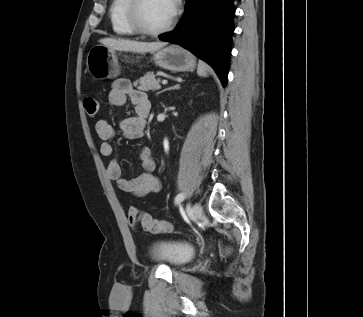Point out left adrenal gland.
<instances>
[{
  "instance_id": "obj_1",
  "label": "left adrenal gland",
  "mask_w": 363,
  "mask_h": 317,
  "mask_svg": "<svg viewBox=\"0 0 363 317\" xmlns=\"http://www.w3.org/2000/svg\"><path fill=\"white\" fill-rule=\"evenodd\" d=\"M179 84H177V85H174V86H172V87H169V88H166V89H164V90H162V91H160V92H158L157 93V95L158 94H160V93H162V92H164V91H167V90H173V89H178L179 88Z\"/></svg>"
}]
</instances>
